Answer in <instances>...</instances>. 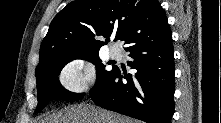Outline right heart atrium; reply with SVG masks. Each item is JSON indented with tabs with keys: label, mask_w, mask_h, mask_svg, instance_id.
Returning a JSON list of instances; mask_svg holds the SVG:
<instances>
[{
	"label": "right heart atrium",
	"mask_w": 221,
	"mask_h": 123,
	"mask_svg": "<svg viewBox=\"0 0 221 123\" xmlns=\"http://www.w3.org/2000/svg\"><path fill=\"white\" fill-rule=\"evenodd\" d=\"M58 79L66 91L80 94L92 88L96 80V72L90 62L73 59L63 66Z\"/></svg>",
	"instance_id": "1"
}]
</instances>
